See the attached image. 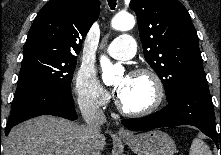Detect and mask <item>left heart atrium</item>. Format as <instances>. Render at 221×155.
<instances>
[{
  "mask_svg": "<svg viewBox=\"0 0 221 155\" xmlns=\"http://www.w3.org/2000/svg\"><path fill=\"white\" fill-rule=\"evenodd\" d=\"M116 93L119 96L122 93V89L121 88H116Z\"/></svg>",
  "mask_w": 221,
  "mask_h": 155,
  "instance_id": "1",
  "label": "left heart atrium"
}]
</instances>
